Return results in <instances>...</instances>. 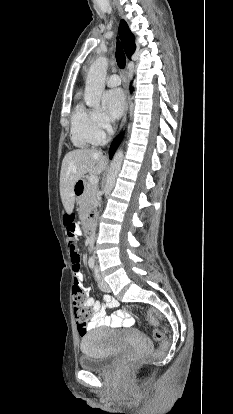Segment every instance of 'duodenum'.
<instances>
[{
  "instance_id": "obj_1",
  "label": "duodenum",
  "mask_w": 233,
  "mask_h": 414,
  "mask_svg": "<svg viewBox=\"0 0 233 414\" xmlns=\"http://www.w3.org/2000/svg\"><path fill=\"white\" fill-rule=\"evenodd\" d=\"M73 191L76 196L81 195L84 191L83 181H77L74 185ZM78 191L80 192L79 194L77 193ZM94 218L95 215L92 213L84 220L83 229L85 232H91L93 230Z\"/></svg>"
}]
</instances>
